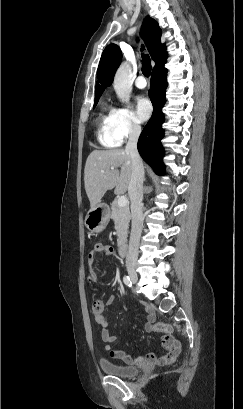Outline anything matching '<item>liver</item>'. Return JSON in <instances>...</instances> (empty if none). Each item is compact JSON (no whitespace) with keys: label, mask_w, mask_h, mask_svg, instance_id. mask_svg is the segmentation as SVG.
I'll return each instance as SVG.
<instances>
[{"label":"liver","mask_w":243,"mask_h":409,"mask_svg":"<svg viewBox=\"0 0 243 409\" xmlns=\"http://www.w3.org/2000/svg\"><path fill=\"white\" fill-rule=\"evenodd\" d=\"M121 168L119 171L118 168ZM132 173L130 154L123 149L94 150L86 160L85 190L91 208L97 206L108 190L115 194L127 191Z\"/></svg>","instance_id":"6515ba94"}]
</instances>
